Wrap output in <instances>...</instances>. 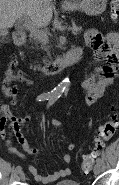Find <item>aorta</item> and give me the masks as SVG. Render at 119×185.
<instances>
[{
    "mask_svg": "<svg viewBox=\"0 0 119 185\" xmlns=\"http://www.w3.org/2000/svg\"><path fill=\"white\" fill-rule=\"evenodd\" d=\"M69 79L65 78L57 87L53 89V94L60 95L64 92Z\"/></svg>",
    "mask_w": 119,
    "mask_h": 185,
    "instance_id": "obj_1",
    "label": "aorta"
}]
</instances>
